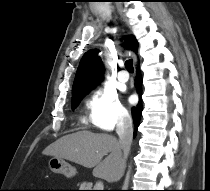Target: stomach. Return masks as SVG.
Wrapping results in <instances>:
<instances>
[{
  "mask_svg": "<svg viewBox=\"0 0 210 191\" xmlns=\"http://www.w3.org/2000/svg\"><path fill=\"white\" fill-rule=\"evenodd\" d=\"M48 164L52 172L62 174L67 178H72L76 174V169L64 159L52 157Z\"/></svg>",
  "mask_w": 210,
  "mask_h": 191,
  "instance_id": "0dacf381",
  "label": "stomach"
}]
</instances>
